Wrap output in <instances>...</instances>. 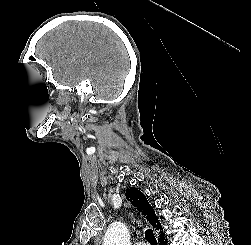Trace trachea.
<instances>
[{
	"instance_id": "1",
	"label": "trachea",
	"mask_w": 251,
	"mask_h": 245,
	"mask_svg": "<svg viewBox=\"0 0 251 245\" xmlns=\"http://www.w3.org/2000/svg\"><path fill=\"white\" fill-rule=\"evenodd\" d=\"M145 238L151 245H157V240L154 236L152 229H147L145 231Z\"/></svg>"
}]
</instances>
